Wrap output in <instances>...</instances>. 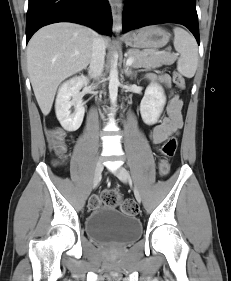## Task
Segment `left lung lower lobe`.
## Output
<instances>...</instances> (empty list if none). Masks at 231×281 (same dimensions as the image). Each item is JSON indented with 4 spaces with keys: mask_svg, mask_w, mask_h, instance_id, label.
<instances>
[{
    "mask_svg": "<svg viewBox=\"0 0 231 281\" xmlns=\"http://www.w3.org/2000/svg\"><path fill=\"white\" fill-rule=\"evenodd\" d=\"M173 22L187 27L198 44L199 27L196 0H127L122 23L123 32L142 26Z\"/></svg>",
    "mask_w": 231,
    "mask_h": 281,
    "instance_id": "obj_1",
    "label": "left lung lower lobe"
}]
</instances>
